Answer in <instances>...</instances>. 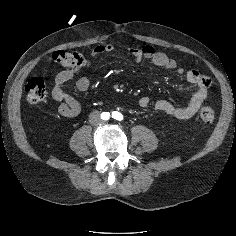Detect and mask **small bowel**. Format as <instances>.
I'll use <instances>...</instances> for the list:
<instances>
[{"mask_svg":"<svg viewBox=\"0 0 236 236\" xmlns=\"http://www.w3.org/2000/svg\"><path fill=\"white\" fill-rule=\"evenodd\" d=\"M115 50L113 44H101L93 48L92 57H97L100 54L112 52ZM126 52L136 61L140 62L144 59L150 60L154 65L169 70H175L179 75L185 78L188 85L194 88L193 95L190 101L183 106L176 105L168 100H153L150 97L144 96L139 99V105L142 108L154 107L156 110L162 111L170 116L178 119H188L194 116L203 102L207 98L210 79L198 72L197 70H184L179 67L176 60L169 57L161 51H157L151 45L143 47H129ZM73 73L70 70H63L55 77L52 88V98L58 103V112L61 116L72 118L80 113V103L70 94L64 91V85L71 81ZM76 87L81 92H86L90 87V81L87 77H80L76 81Z\"/></svg>","mask_w":236,"mask_h":236,"instance_id":"1","label":"small bowel"}]
</instances>
